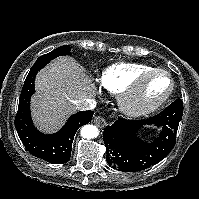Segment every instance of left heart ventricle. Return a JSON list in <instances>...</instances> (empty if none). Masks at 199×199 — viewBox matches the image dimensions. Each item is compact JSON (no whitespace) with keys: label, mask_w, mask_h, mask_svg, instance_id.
Returning a JSON list of instances; mask_svg holds the SVG:
<instances>
[{"label":"left heart ventricle","mask_w":199,"mask_h":199,"mask_svg":"<svg viewBox=\"0 0 199 199\" xmlns=\"http://www.w3.org/2000/svg\"><path fill=\"white\" fill-rule=\"evenodd\" d=\"M170 88V80L164 75L150 78L145 84L141 98L145 101H156L162 97Z\"/></svg>","instance_id":"b2bd125f"}]
</instances>
